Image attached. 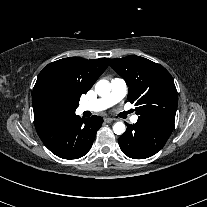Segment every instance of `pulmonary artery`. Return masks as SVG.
<instances>
[{"label": "pulmonary artery", "mask_w": 207, "mask_h": 207, "mask_svg": "<svg viewBox=\"0 0 207 207\" xmlns=\"http://www.w3.org/2000/svg\"><path fill=\"white\" fill-rule=\"evenodd\" d=\"M126 90H127V84L125 80L122 78H118V77L114 78L111 80L110 94H108L105 97L96 99L94 101L81 104L78 107L77 111L79 114L86 112V111H90V112L103 111L115 105L119 101H121L126 94ZM130 121L132 123H136L138 121V116L133 115L132 117H130Z\"/></svg>", "instance_id": "e3ab8cb5"}]
</instances>
